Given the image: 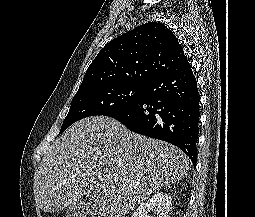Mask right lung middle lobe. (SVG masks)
<instances>
[{
  "instance_id": "dd1d6c3e",
  "label": "right lung middle lobe",
  "mask_w": 255,
  "mask_h": 217,
  "mask_svg": "<svg viewBox=\"0 0 255 217\" xmlns=\"http://www.w3.org/2000/svg\"><path fill=\"white\" fill-rule=\"evenodd\" d=\"M145 89L146 85L120 84L78 91L71 102L60 133L80 119L94 115H106L109 112L126 108L137 100Z\"/></svg>"
}]
</instances>
